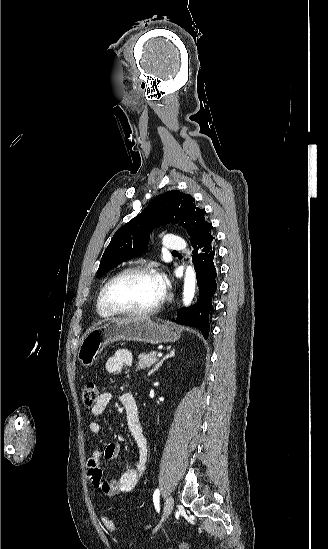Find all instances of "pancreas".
Returning a JSON list of instances; mask_svg holds the SVG:
<instances>
[{
    "mask_svg": "<svg viewBox=\"0 0 328 549\" xmlns=\"http://www.w3.org/2000/svg\"><path fill=\"white\" fill-rule=\"evenodd\" d=\"M156 355V351H152L149 355H140V357H138L137 369H150V367L158 361Z\"/></svg>",
    "mask_w": 328,
    "mask_h": 549,
    "instance_id": "pancreas-1",
    "label": "pancreas"
}]
</instances>
